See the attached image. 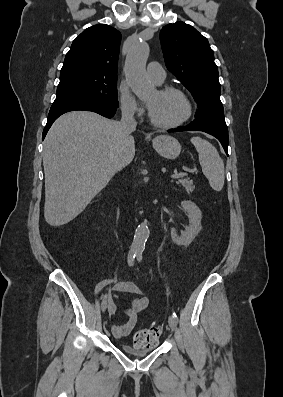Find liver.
I'll return each mask as SVG.
<instances>
[{"label":"liver","instance_id":"6515ba94","mask_svg":"<svg viewBox=\"0 0 283 397\" xmlns=\"http://www.w3.org/2000/svg\"><path fill=\"white\" fill-rule=\"evenodd\" d=\"M119 123L90 111L60 116L43 150L46 222L54 227L76 218L135 155L134 138Z\"/></svg>","mask_w":283,"mask_h":397}]
</instances>
